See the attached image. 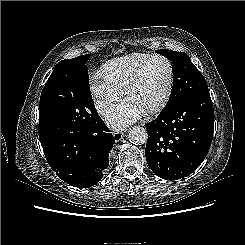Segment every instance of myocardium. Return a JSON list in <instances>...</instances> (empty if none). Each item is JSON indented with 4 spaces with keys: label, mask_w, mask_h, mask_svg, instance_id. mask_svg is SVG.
<instances>
[{
    "label": "myocardium",
    "mask_w": 245,
    "mask_h": 245,
    "mask_svg": "<svg viewBox=\"0 0 245 245\" xmlns=\"http://www.w3.org/2000/svg\"><path fill=\"white\" fill-rule=\"evenodd\" d=\"M153 59H160L166 63L167 69H168V81H167L165 92L163 96L161 97V99L158 101V103H156L154 106L146 110L150 114L160 112L166 106V104L168 103L171 97V94L173 91V85H174V69H173L172 62L164 55L150 54L137 68V70L135 71L131 79L127 82L124 88V94L125 96H127L129 91L140 81L147 65Z\"/></svg>",
    "instance_id": "f54148a6"
}]
</instances>
